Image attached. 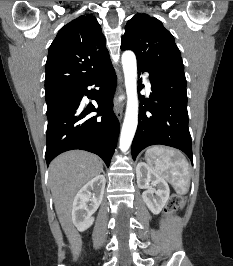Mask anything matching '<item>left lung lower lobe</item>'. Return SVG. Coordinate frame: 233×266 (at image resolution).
<instances>
[{"mask_svg": "<svg viewBox=\"0 0 233 266\" xmlns=\"http://www.w3.org/2000/svg\"><path fill=\"white\" fill-rule=\"evenodd\" d=\"M138 70L139 73H149L152 93L149 99L141 97L138 127L131 150L133 159L144 148L161 144L182 150L193 163L185 74L154 73L140 66Z\"/></svg>", "mask_w": 233, "mask_h": 266, "instance_id": "1", "label": "left lung lower lobe"}]
</instances>
